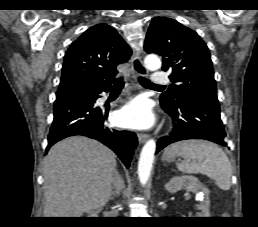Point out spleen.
Listing matches in <instances>:
<instances>
[{
    "label": "spleen",
    "instance_id": "obj_1",
    "mask_svg": "<svg viewBox=\"0 0 258 227\" xmlns=\"http://www.w3.org/2000/svg\"><path fill=\"white\" fill-rule=\"evenodd\" d=\"M164 154L185 159L177 163L181 172L206 175L213 179L220 189H230L232 167L225 152L216 144L205 140H183L167 146Z\"/></svg>",
    "mask_w": 258,
    "mask_h": 227
}]
</instances>
